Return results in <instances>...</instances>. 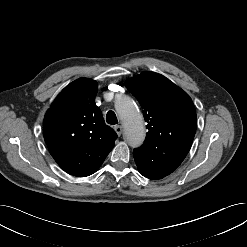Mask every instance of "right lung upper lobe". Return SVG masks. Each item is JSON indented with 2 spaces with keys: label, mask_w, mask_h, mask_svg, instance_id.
Here are the masks:
<instances>
[{
  "label": "right lung upper lobe",
  "mask_w": 247,
  "mask_h": 247,
  "mask_svg": "<svg viewBox=\"0 0 247 247\" xmlns=\"http://www.w3.org/2000/svg\"><path fill=\"white\" fill-rule=\"evenodd\" d=\"M97 89L92 79L73 81L44 117L43 132L49 152L70 175L85 177L95 173L117 139L95 104Z\"/></svg>",
  "instance_id": "cb5924a9"
}]
</instances>
